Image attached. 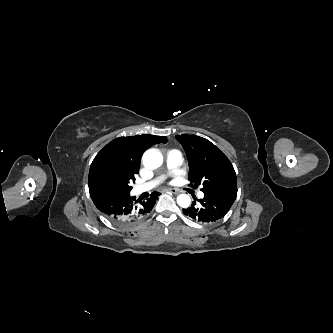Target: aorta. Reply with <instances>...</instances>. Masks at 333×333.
Listing matches in <instances>:
<instances>
[{
  "label": "aorta",
  "mask_w": 333,
  "mask_h": 333,
  "mask_svg": "<svg viewBox=\"0 0 333 333\" xmlns=\"http://www.w3.org/2000/svg\"><path fill=\"white\" fill-rule=\"evenodd\" d=\"M143 164L149 169H156L163 163L162 154L156 149H148L142 157ZM177 203L182 208L190 205V197L187 194H180L177 197Z\"/></svg>",
  "instance_id": "1"
}]
</instances>
